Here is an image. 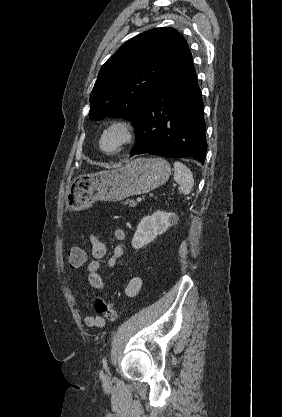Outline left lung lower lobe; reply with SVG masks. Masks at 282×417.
<instances>
[{"label": "left lung lower lobe", "instance_id": "obj_1", "mask_svg": "<svg viewBox=\"0 0 282 417\" xmlns=\"http://www.w3.org/2000/svg\"><path fill=\"white\" fill-rule=\"evenodd\" d=\"M204 104L190 50L171 66L139 111L131 156L205 160Z\"/></svg>", "mask_w": 282, "mask_h": 417}]
</instances>
